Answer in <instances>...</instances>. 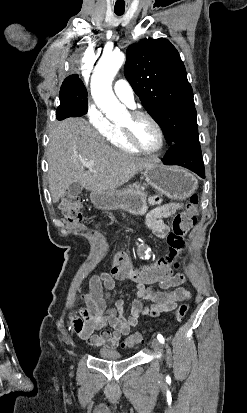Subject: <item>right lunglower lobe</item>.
I'll list each match as a JSON object with an SVG mask.
<instances>
[{"instance_id":"right-lung-lower-lobe-1","label":"right lung lower lobe","mask_w":247,"mask_h":413,"mask_svg":"<svg viewBox=\"0 0 247 413\" xmlns=\"http://www.w3.org/2000/svg\"><path fill=\"white\" fill-rule=\"evenodd\" d=\"M69 117H80L78 111L68 104L61 103L56 112V118L63 120Z\"/></svg>"}]
</instances>
